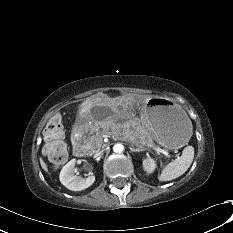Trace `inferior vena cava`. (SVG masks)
I'll list each match as a JSON object with an SVG mask.
<instances>
[{
	"label": "inferior vena cava",
	"instance_id": "602c4592",
	"mask_svg": "<svg viewBox=\"0 0 233 233\" xmlns=\"http://www.w3.org/2000/svg\"><path fill=\"white\" fill-rule=\"evenodd\" d=\"M102 152H103V151H97V152L95 153V156H99Z\"/></svg>",
	"mask_w": 233,
	"mask_h": 233
}]
</instances>
